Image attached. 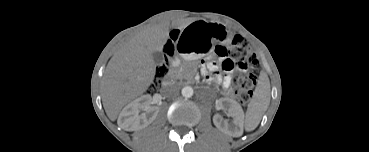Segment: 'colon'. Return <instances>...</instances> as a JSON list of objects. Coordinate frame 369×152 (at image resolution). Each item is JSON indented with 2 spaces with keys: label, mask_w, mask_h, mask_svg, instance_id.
Instances as JSON below:
<instances>
[{
  "label": "colon",
  "mask_w": 369,
  "mask_h": 152,
  "mask_svg": "<svg viewBox=\"0 0 369 152\" xmlns=\"http://www.w3.org/2000/svg\"><path fill=\"white\" fill-rule=\"evenodd\" d=\"M236 51L234 55L222 54L223 70L236 73V81L242 89H249L255 80L253 73L249 72L254 66L258 65L255 54L248 48L242 40L235 42Z\"/></svg>",
  "instance_id": "1"
}]
</instances>
